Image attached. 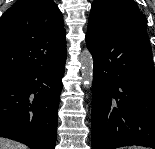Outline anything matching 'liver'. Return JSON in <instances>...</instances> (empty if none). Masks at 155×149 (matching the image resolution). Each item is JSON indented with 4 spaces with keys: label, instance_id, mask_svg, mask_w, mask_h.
Listing matches in <instances>:
<instances>
[{
    "label": "liver",
    "instance_id": "obj_1",
    "mask_svg": "<svg viewBox=\"0 0 155 149\" xmlns=\"http://www.w3.org/2000/svg\"><path fill=\"white\" fill-rule=\"evenodd\" d=\"M0 149H27V146L21 143L0 137Z\"/></svg>",
    "mask_w": 155,
    "mask_h": 149
}]
</instances>
